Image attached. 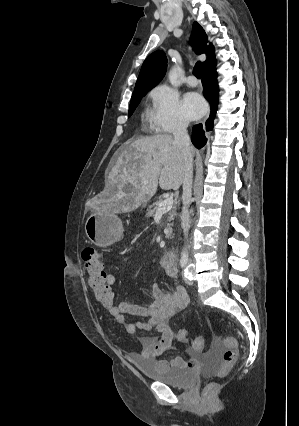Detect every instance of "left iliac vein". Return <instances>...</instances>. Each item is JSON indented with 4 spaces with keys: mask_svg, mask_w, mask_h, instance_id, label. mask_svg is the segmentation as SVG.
<instances>
[{
    "mask_svg": "<svg viewBox=\"0 0 299 426\" xmlns=\"http://www.w3.org/2000/svg\"><path fill=\"white\" fill-rule=\"evenodd\" d=\"M190 271V266H187V268L185 269V271ZM184 280H185V282L188 284V285H193V280L192 279H189L188 277H184Z\"/></svg>",
    "mask_w": 299,
    "mask_h": 426,
    "instance_id": "obj_1",
    "label": "left iliac vein"
}]
</instances>
